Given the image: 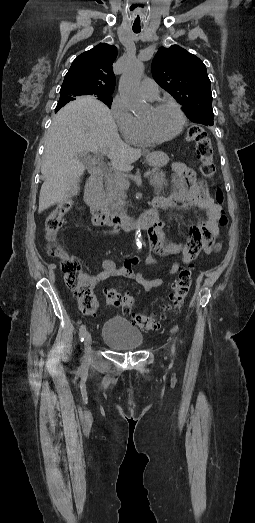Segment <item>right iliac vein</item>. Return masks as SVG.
Listing matches in <instances>:
<instances>
[{
	"label": "right iliac vein",
	"instance_id": "obj_1",
	"mask_svg": "<svg viewBox=\"0 0 255 523\" xmlns=\"http://www.w3.org/2000/svg\"><path fill=\"white\" fill-rule=\"evenodd\" d=\"M91 344H92V337L89 332H86L85 338H84V345H85V356L88 359L91 354Z\"/></svg>",
	"mask_w": 255,
	"mask_h": 523
}]
</instances>
